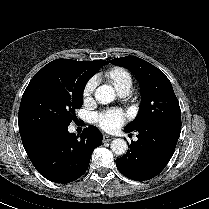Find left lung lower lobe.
I'll list each match as a JSON object with an SVG mask.
<instances>
[{"label": "left lung lower lobe", "mask_w": 209, "mask_h": 209, "mask_svg": "<svg viewBox=\"0 0 209 209\" xmlns=\"http://www.w3.org/2000/svg\"><path fill=\"white\" fill-rule=\"evenodd\" d=\"M125 132H129L126 131ZM181 133V127L146 128L138 131L127 153L116 159L119 171L135 181L157 176L170 161Z\"/></svg>", "instance_id": "left-lung-lower-lobe-1"}]
</instances>
